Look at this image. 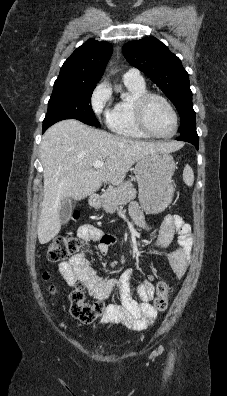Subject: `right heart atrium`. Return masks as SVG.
<instances>
[{
    "instance_id": "right-heart-atrium-1",
    "label": "right heart atrium",
    "mask_w": 227,
    "mask_h": 396,
    "mask_svg": "<svg viewBox=\"0 0 227 396\" xmlns=\"http://www.w3.org/2000/svg\"><path fill=\"white\" fill-rule=\"evenodd\" d=\"M111 92L107 84L99 83L90 97V104L94 114L100 119H107L110 113Z\"/></svg>"
}]
</instances>
